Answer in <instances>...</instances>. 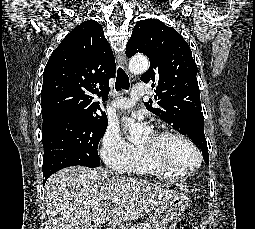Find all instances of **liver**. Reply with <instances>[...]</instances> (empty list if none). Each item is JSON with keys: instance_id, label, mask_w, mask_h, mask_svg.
Segmentation results:
<instances>
[{"instance_id": "6515ba94", "label": "liver", "mask_w": 255, "mask_h": 229, "mask_svg": "<svg viewBox=\"0 0 255 229\" xmlns=\"http://www.w3.org/2000/svg\"><path fill=\"white\" fill-rule=\"evenodd\" d=\"M173 194L147 180L109 179L104 168L74 166L47 180L45 205L52 229H94L107 221L141 218Z\"/></svg>"}]
</instances>
